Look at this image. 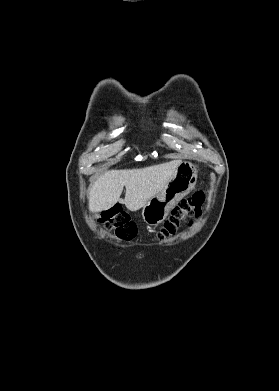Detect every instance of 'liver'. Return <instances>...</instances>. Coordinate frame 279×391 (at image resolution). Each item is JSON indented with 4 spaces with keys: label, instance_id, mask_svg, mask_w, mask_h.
Listing matches in <instances>:
<instances>
[{
    "label": "liver",
    "instance_id": "liver-1",
    "mask_svg": "<svg viewBox=\"0 0 279 391\" xmlns=\"http://www.w3.org/2000/svg\"><path fill=\"white\" fill-rule=\"evenodd\" d=\"M181 162L173 160L146 168L104 172L90 187L89 210H107L118 201L130 211L139 210L166 186ZM124 186L125 199L121 200Z\"/></svg>",
    "mask_w": 279,
    "mask_h": 391
}]
</instances>
